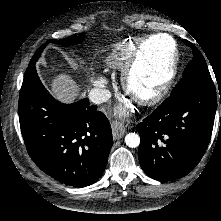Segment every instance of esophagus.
I'll use <instances>...</instances> for the list:
<instances>
[{"label":"esophagus","mask_w":221,"mask_h":221,"mask_svg":"<svg viewBox=\"0 0 221 221\" xmlns=\"http://www.w3.org/2000/svg\"><path fill=\"white\" fill-rule=\"evenodd\" d=\"M111 127H112L113 138L115 140L122 138L126 133V129L123 123L121 122H112Z\"/></svg>","instance_id":"34e87169"}]
</instances>
